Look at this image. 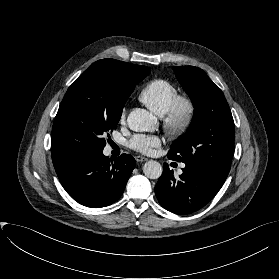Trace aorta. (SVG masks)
Returning a JSON list of instances; mask_svg holds the SVG:
<instances>
[{
	"label": "aorta",
	"mask_w": 279,
	"mask_h": 279,
	"mask_svg": "<svg viewBox=\"0 0 279 279\" xmlns=\"http://www.w3.org/2000/svg\"><path fill=\"white\" fill-rule=\"evenodd\" d=\"M128 126L136 132H153L158 128L157 118L149 111L141 108L132 110L127 118ZM163 172L161 164L150 160L145 163L143 173L149 179H158Z\"/></svg>",
	"instance_id": "1"
}]
</instances>
